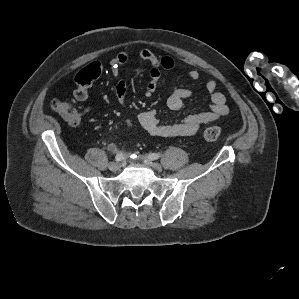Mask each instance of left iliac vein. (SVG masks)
<instances>
[{"instance_id":"1","label":"left iliac vein","mask_w":299,"mask_h":299,"mask_svg":"<svg viewBox=\"0 0 299 299\" xmlns=\"http://www.w3.org/2000/svg\"><path fill=\"white\" fill-rule=\"evenodd\" d=\"M144 163L150 167H152L155 170H161L162 166L161 164L157 163V162H153L151 159L149 158H145L144 159Z\"/></svg>"}]
</instances>
